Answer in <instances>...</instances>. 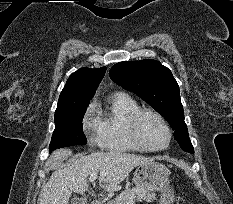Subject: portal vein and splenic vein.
Listing matches in <instances>:
<instances>
[{
	"mask_svg": "<svg viewBox=\"0 0 233 204\" xmlns=\"http://www.w3.org/2000/svg\"><path fill=\"white\" fill-rule=\"evenodd\" d=\"M96 178H97V172H94V173H92V174L90 175L89 181H90V182H94V181L96 180ZM130 204H134V202H131Z\"/></svg>",
	"mask_w": 233,
	"mask_h": 204,
	"instance_id": "18ae733b",
	"label": "portal vein and splenic vein"
}]
</instances>
